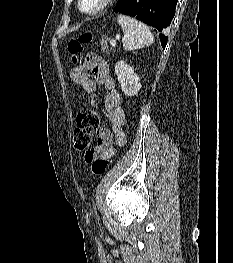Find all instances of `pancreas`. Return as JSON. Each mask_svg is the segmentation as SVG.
<instances>
[{
    "label": "pancreas",
    "instance_id": "cf45deb5",
    "mask_svg": "<svg viewBox=\"0 0 233 263\" xmlns=\"http://www.w3.org/2000/svg\"><path fill=\"white\" fill-rule=\"evenodd\" d=\"M101 50L104 53H109L111 51V48L108 45V39L107 38L101 40Z\"/></svg>",
    "mask_w": 233,
    "mask_h": 263
}]
</instances>
